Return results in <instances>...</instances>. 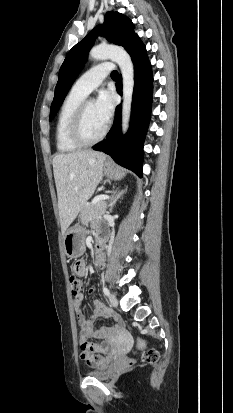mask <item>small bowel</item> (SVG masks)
Instances as JSON below:
<instances>
[{
    "label": "small bowel",
    "mask_w": 233,
    "mask_h": 413,
    "mask_svg": "<svg viewBox=\"0 0 233 413\" xmlns=\"http://www.w3.org/2000/svg\"><path fill=\"white\" fill-rule=\"evenodd\" d=\"M76 261L71 270L72 275H85L87 272L85 262L81 261L80 257H77ZM73 295L74 310L80 327V358L90 367H105L122 347L121 318L97 299L92 302L91 314L86 318L82 311L84 295L80 292ZM99 317L112 320V324L95 329L94 324ZM90 339H97V341H90Z\"/></svg>",
    "instance_id": "c3829d8e"
}]
</instances>
